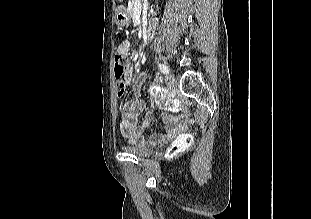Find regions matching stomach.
Instances as JSON below:
<instances>
[{"mask_svg":"<svg viewBox=\"0 0 311 219\" xmlns=\"http://www.w3.org/2000/svg\"><path fill=\"white\" fill-rule=\"evenodd\" d=\"M117 23L120 25H127L130 23V14L127 12H119L116 15Z\"/></svg>","mask_w":311,"mask_h":219,"instance_id":"0dacf381","label":"stomach"}]
</instances>
